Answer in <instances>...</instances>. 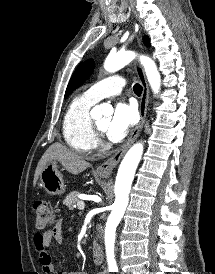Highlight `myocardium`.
I'll return each mask as SVG.
<instances>
[{
	"label": "myocardium",
	"mask_w": 215,
	"mask_h": 274,
	"mask_svg": "<svg viewBox=\"0 0 215 274\" xmlns=\"http://www.w3.org/2000/svg\"><path fill=\"white\" fill-rule=\"evenodd\" d=\"M92 128L95 132V134H101L103 133V130L99 128V126L96 124L95 121L92 120Z\"/></svg>",
	"instance_id": "obj_1"
}]
</instances>
